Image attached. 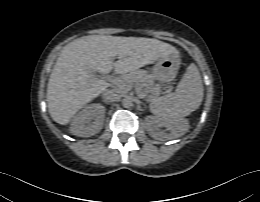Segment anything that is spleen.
I'll list each match as a JSON object with an SVG mask.
<instances>
[{
  "label": "spleen",
  "mask_w": 260,
  "mask_h": 202,
  "mask_svg": "<svg viewBox=\"0 0 260 202\" xmlns=\"http://www.w3.org/2000/svg\"><path fill=\"white\" fill-rule=\"evenodd\" d=\"M201 75L195 64H190L174 93L159 97L150 103V111L160 119H180L188 116L203 100ZM176 135L181 136L186 129Z\"/></svg>",
  "instance_id": "1"
}]
</instances>
